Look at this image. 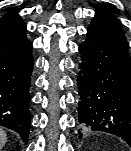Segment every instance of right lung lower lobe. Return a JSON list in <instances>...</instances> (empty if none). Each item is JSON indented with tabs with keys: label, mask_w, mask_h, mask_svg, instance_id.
Wrapping results in <instances>:
<instances>
[{
	"label": "right lung lower lobe",
	"mask_w": 131,
	"mask_h": 151,
	"mask_svg": "<svg viewBox=\"0 0 131 151\" xmlns=\"http://www.w3.org/2000/svg\"><path fill=\"white\" fill-rule=\"evenodd\" d=\"M34 66L26 30L0 33V126L18 132L28 142L29 86Z\"/></svg>",
	"instance_id": "right-lung-lower-lobe-1"
}]
</instances>
